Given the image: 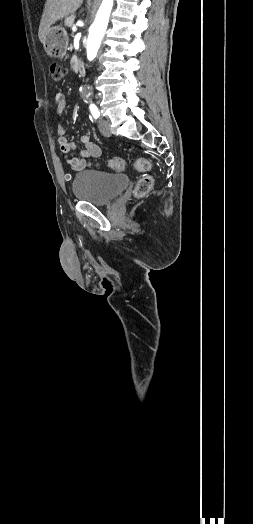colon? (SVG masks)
I'll return each instance as SVG.
<instances>
[{
  "label": "colon",
  "mask_w": 253,
  "mask_h": 524,
  "mask_svg": "<svg viewBox=\"0 0 253 524\" xmlns=\"http://www.w3.org/2000/svg\"><path fill=\"white\" fill-rule=\"evenodd\" d=\"M49 73L52 80L60 81L67 73V67L60 62H52L49 65ZM109 166L116 172H121L125 169V161L121 157H114L109 161ZM150 162L145 159L138 158L133 162V167L139 171H147L150 169ZM153 178L148 174H144L138 180L135 186V195L142 197L146 195L153 187Z\"/></svg>",
  "instance_id": "obj_1"
}]
</instances>
